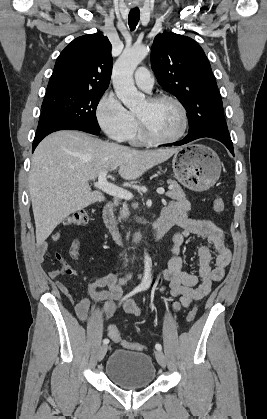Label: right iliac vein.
<instances>
[{
    "mask_svg": "<svg viewBox=\"0 0 267 419\" xmlns=\"http://www.w3.org/2000/svg\"><path fill=\"white\" fill-rule=\"evenodd\" d=\"M106 352H107V345L104 344L100 347L99 352H98V360L99 361H101L104 358Z\"/></svg>",
    "mask_w": 267,
    "mask_h": 419,
    "instance_id": "right-iliac-vein-1",
    "label": "right iliac vein"
}]
</instances>
